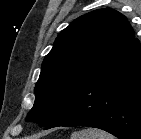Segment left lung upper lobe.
I'll return each mask as SVG.
<instances>
[{
    "label": "left lung upper lobe",
    "mask_w": 141,
    "mask_h": 139,
    "mask_svg": "<svg viewBox=\"0 0 141 139\" xmlns=\"http://www.w3.org/2000/svg\"><path fill=\"white\" fill-rule=\"evenodd\" d=\"M134 39L127 18L104 8L75 19L45 57L27 121L46 126L83 81Z\"/></svg>",
    "instance_id": "obj_1"
}]
</instances>
